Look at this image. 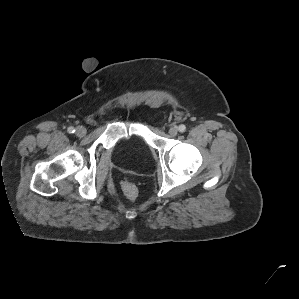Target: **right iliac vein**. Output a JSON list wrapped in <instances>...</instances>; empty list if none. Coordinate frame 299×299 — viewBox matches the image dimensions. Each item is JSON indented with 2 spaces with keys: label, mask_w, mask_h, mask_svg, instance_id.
<instances>
[{
  "label": "right iliac vein",
  "mask_w": 299,
  "mask_h": 299,
  "mask_svg": "<svg viewBox=\"0 0 299 299\" xmlns=\"http://www.w3.org/2000/svg\"><path fill=\"white\" fill-rule=\"evenodd\" d=\"M87 130L84 126H78L76 128V131H75V134L78 136V137H83L85 134H86Z\"/></svg>",
  "instance_id": "1"
}]
</instances>
